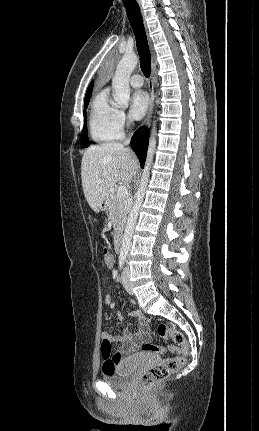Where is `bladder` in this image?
Here are the masks:
<instances>
[{
  "label": "bladder",
  "instance_id": "bladder-1",
  "mask_svg": "<svg viewBox=\"0 0 259 431\" xmlns=\"http://www.w3.org/2000/svg\"><path fill=\"white\" fill-rule=\"evenodd\" d=\"M138 367L137 362H130L120 365L116 370L112 372H106L102 374V378L105 382L112 386H124L131 379Z\"/></svg>",
  "mask_w": 259,
  "mask_h": 431
}]
</instances>
